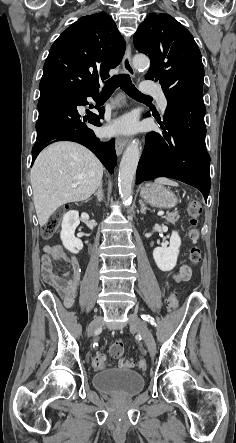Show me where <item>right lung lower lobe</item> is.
I'll list each match as a JSON object with an SVG mask.
<instances>
[{
    "mask_svg": "<svg viewBox=\"0 0 236 443\" xmlns=\"http://www.w3.org/2000/svg\"><path fill=\"white\" fill-rule=\"evenodd\" d=\"M99 98L98 89L83 92L46 90L40 92L38 102L39 117L36 123L37 139L32 148V164L40 151L57 141L78 142L89 148L113 173L117 161L115 142H101L87 125L100 126L104 118V108H97L99 116L87 111L88 117L79 115L76 107L88 104L86 98Z\"/></svg>",
    "mask_w": 236,
    "mask_h": 443,
    "instance_id": "right-lung-lower-lobe-1",
    "label": "right lung lower lobe"
}]
</instances>
